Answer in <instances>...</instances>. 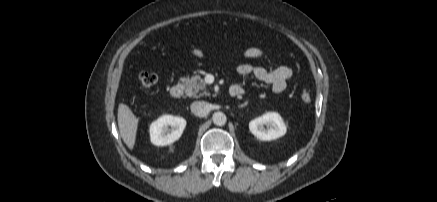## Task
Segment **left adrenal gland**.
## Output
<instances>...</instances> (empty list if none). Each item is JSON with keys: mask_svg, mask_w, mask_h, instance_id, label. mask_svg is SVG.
<instances>
[{"mask_svg": "<svg viewBox=\"0 0 437 202\" xmlns=\"http://www.w3.org/2000/svg\"><path fill=\"white\" fill-rule=\"evenodd\" d=\"M246 105H247V103H244V104L240 105L239 108H243V107H245Z\"/></svg>", "mask_w": 437, "mask_h": 202, "instance_id": "left-adrenal-gland-1", "label": "left adrenal gland"}]
</instances>
